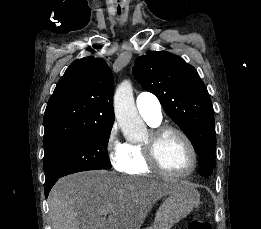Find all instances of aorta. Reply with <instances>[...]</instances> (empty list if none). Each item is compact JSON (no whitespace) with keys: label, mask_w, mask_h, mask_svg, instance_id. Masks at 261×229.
Returning a JSON list of instances; mask_svg holds the SVG:
<instances>
[{"label":"aorta","mask_w":261,"mask_h":229,"mask_svg":"<svg viewBox=\"0 0 261 229\" xmlns=\"http://www.w3.org/2000/svg\"><path fill=\"white\" fill-rule=\"evenodd\" d=\"M114 112L116 121L127 139L145 141L147 129L138 115L130 80H124L116 88L114 94Z\"/></svg>","instance_id":"aorta-1"}]
</instances>
